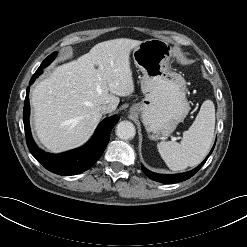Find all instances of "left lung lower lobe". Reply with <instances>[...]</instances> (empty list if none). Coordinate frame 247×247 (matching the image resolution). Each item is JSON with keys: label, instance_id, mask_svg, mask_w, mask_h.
Masks as SVG:
<instances>
[{"label": "left lung lower lobe", "instance_id": "obj_1", "mask_svg": "<svg viewBox=\"0 0 247 247\" xmlns=\"http://www.w3.org/2000/svg\"><path fill=\"white\" fill-rule=\"evenodd\" d=\"M214 146H215V144H214ZM214 146H213L211 152L209 153V155L206 157V159L198 167H196L195 169H193L189 172L181 173V174H174V175H163V174L153 173V172L147 170L144 166H142V170L146 176H148L150 179L155 180L157 182L166 183V184L182 182V181L189 179L195 173H197V171L203 166V164L206 162V160L208 159V157L212 153Z\"/></svg>", "mask_w": 247, "mask_h": 247}]
</instances>
